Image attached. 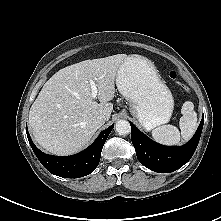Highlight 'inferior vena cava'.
<instances>
[{
  "instance_id": "602c4592",
  "label": "inferior vena cava",
  "mask_w": 221,
  "mask_h": 221,
  "mask_svg": "<svg viewBox=\"0 0 221 221\" xmlns=\"http://www.w3.org/2000/svg\"><path fill=\"white\" fill-rule=\"evenodd\" d=\"M105 121H106L105 115H99V116L97 117V122H98V123H105Z\"/></svg>"
}]
</instances>
